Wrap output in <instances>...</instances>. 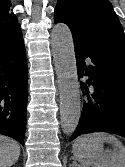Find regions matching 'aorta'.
<instances>
[{
    "mask_svg": "<svg viewBox=\"0 0 125 167\" xmlns=\"http://www.w3.org/2000/svg\"><path fill=\"white\" fill-rule=\"evenodd\" d=\"M51 47L60 92L61 125L63 132L71 135L80 119L81 98L73 38L68 26L59 23L53 27Z\"/></svg>",
    "mask_w": 125,
    "mask_h": 167,
    "instance_id": "obj_1",
    "label": "aorta"
}]
</instances>
